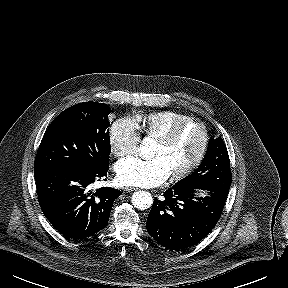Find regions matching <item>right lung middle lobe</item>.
<instances>
[{"instance_id":"right-lung-middle-lobe-1","label":"right lung middle lobe","mask_w":288,"mask_h":288,"mask_svg":"<svg viewBox=\"0 0 288 288\" xmlns=\"http://www.w3.org/2000/svg\"><path fill=\"white\" fill-rule=\"evenodd\" d=\"M109 106L76 104L60 113L46 130L34 172L65 169L93 174L108 166L110 155Z\"/></svg>"}]
</instances>
